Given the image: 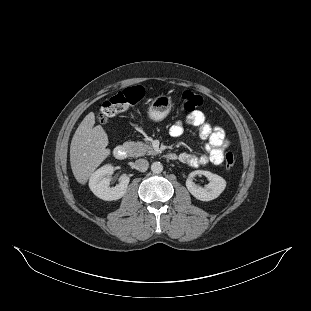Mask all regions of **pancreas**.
Masks as SVG:
<instances>
[{"mask_svg": "<svg viewBox=\"0 0 311 311\" xmlns=\"http://www.w3.org/2000/svg\"><path fill=\"white\" fill-rule=\"evenodd\" d=\"M124 146L127 149L129 156L134 158L145 156L146 154H157L152 144H146L143 142H125Z\"/></svg>", "mask_w": 311, "mask_h": 311, "instance_id": "1", "label": "pancreas"}]
</instances>
